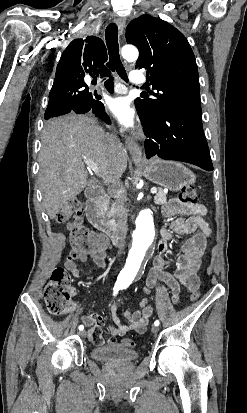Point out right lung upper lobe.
Listing matches in <instances>:
<instances>
[{
    "label": "right lung upper lobe",
    "instance_id": "1",
    "mask_svg": "<svg viewBox=\"0 0 247 413\" xmlns=\"http://www.w3.org/2000/svg\"><path fill=\"white\" fill-rule=\"evenodd\" d=\"M106 61V47L100 38L75 39L62 53L54 82L80 81L85 74L110 75Z\"/></svg>",
    "mask_w": 247,
    "mask_h": 413
}]
</instances>
